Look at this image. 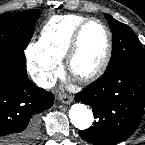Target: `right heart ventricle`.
<instances>
[{"label": "right heart ventricle", "instance_id": "obj_1", "mask_svg": "<svg viewBox=\"0 0 145 145\" xmlns=\"http://www.w3.org/2000/svg\"><path fill=\"white\" fill-rule=\"evenodd\" d=\"M86 19L88 17L77 14L50 18L41 29L37 42L39 48L58 60H62L76 28Z\"/></svg>", "mask_w": 145, "mask_h": 145}]
</instances>
